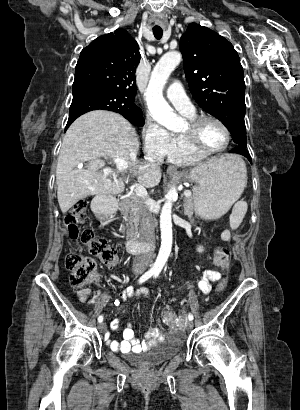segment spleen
I'll return each instance as SVG.
<instances>
[{
  "label": "spleen",
  "mask_w": 300,
  "mask_h": 410,
  "mask_svg": "<svg viewBox=\"0 0 300 410\" xmlns=\"http://www.w3.org/2000/svg\"><path fill=\"white\" fill-rule=\"evenodd\" d=\"M240 169L243 173L244 176V185L247 182V175H246V167L244 162L240 164ZM248 209V205L245 201L240 200L238 201L233 209H232V213L230 215V227L232 229H237L239 227V225L241 224L246 212Z\"/></svg>",
  "instance_id": "3e777b00"
}]
</instances>
